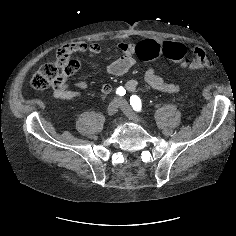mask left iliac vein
<instances>
[{
	"label": "left iliac vein",
	"mask_w": 236,
	"mask_h": 236,
	"mask_svg": "<svg viewBox=\"0 0 236 236\" xmlns=\"http://www.w3.org/2000/svg\"><path fill=\"white\" fill-rule=\"evenodd\" d=\"M120 109L124 112V114L133 122L135 123H142V120L133 112L129 104L126 100L121 99L119 100Z\"/></svg>",
	"instance_id": "obj_1"
}]
</instances>
